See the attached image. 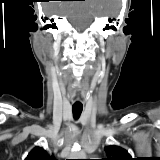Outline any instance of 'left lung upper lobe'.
<instances>
[{"mask_svg": "<svg viewBox=\"0 0 160 160\" xmlns=\"http://www.w3.org/2000/svg\"><path fill=\"white\" fill-rule=\"evenodd\" d=\"M105 151L108 158H103L102 160H133L127 150L119 146H106Z\"/></svg>", "mask_w": 160, "mask_h": 160, "instance_id": "5c2ea615", "label": "left lung upper lobe"}]
</instances>
